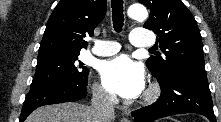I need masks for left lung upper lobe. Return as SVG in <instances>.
Returning <instances> with one entry per match:
<instances>
[{"label": "left lung upper lobe", "mask_w": 221, "mask_h": 122, "mask_svg": "<svg viewBox=\"0 0 221 122\" xmlns=\"http://www.w3.org/2000/svg\"><path fill=\"white\" fill-rule=\"evenodd\" d=\"M150 9L144 27L157 33L163 56H151L147 67L159 82L180 72L205 73L202 39L197 23L181 0H139Z\"/></svg>", "instance_id": "obj_1"}]
</instances>
